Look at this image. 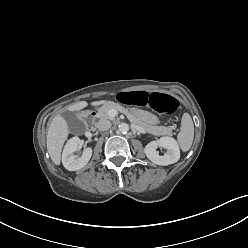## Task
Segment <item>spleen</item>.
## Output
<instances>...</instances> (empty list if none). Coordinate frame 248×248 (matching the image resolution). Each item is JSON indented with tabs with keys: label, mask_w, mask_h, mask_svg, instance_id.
Instances as JSON below:
<instances>
[{
	"label": "spleen",
	"mask_w": 248,
	"mask_h": 248,
	"mask_svg": "<svg viewBox=\"0 0 248 248\" xmlns=\"http://www.w3.org/2000/svg\"><path fill=\"white\" fill-rule=\"evenodd\" d=\"M194 139V125L191 116L184 113L181 119V131L177 136L178 144L183 152L190 149Z\"/></svg>",
	"instance_id": "3e777b00"
}]
</instances>
